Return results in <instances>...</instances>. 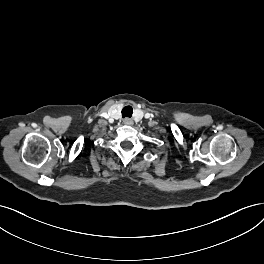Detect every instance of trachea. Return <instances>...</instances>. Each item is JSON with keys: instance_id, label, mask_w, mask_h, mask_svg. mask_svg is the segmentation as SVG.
I'll use <instances>...</instances> for the list:
<instances>
[{"instance_id": "1", "label": "trachea", "mask_w": 264, "mask_h": 264, "mask_svg": "<svg viewBox=\"0 0 264 264\" xmlns=\"http://www.w3.org/2000/svg\"><path fill=\"white\" fill-rule=\"evenodd\" d=\"M132 113H133V109H132L131 106H125L122 109V116H123V118H125V117L130 118L132 116Z\"/></svg>"}]
</instances>
